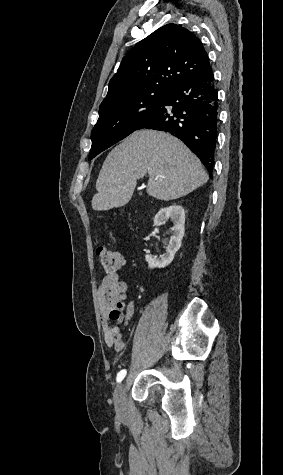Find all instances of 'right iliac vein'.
<instances>
[{
  "instance_id": "right-iliac-vein-1",
  "label": "right iliac vein",
  "mask_w": 283,
  "mask_h": 475,
  "mask_svg": "<svg viewBox=\"0 0 283 475\" xmlns=\"http://www.w3.org/2000/svg\"><path fill=\"white\" fill-rule=\"evenodd\" d=\"M124 394V384L122 383L117 387L114 394L115 407L119 417L123 416L125 410Z\"/></svg>"
}]
</instances>
